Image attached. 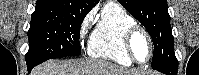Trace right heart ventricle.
Masks as SVG:
<instances>
[{
	"label": "right heart ventricle",
	"instance_id": "e07e8e85",
	"mask_svg": "<svg viewBox=\"0 0 199 75\" xmlns=\"http://www.w3.org/2000/svg\"><path fill=\"white\" fill-rule=\"evenodd\" d=\"M134 24L136 20L128 11L116 4H108L90 35L88 54L123 66L132 65L133 61L125 49L123 34Z\"/></svg>",
	"mask_w": 199,
	"mask_h": 75
}]
</instances>
